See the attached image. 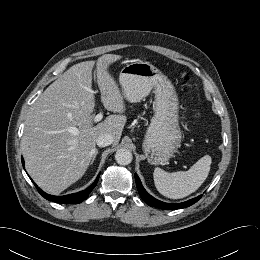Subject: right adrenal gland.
Listing matches in <instances>:
<instances>
[{"instance_id": "right-adrenal-gland-1", "label": "right adrenal gland", "mask_w": 260, "mask_h": 260, "mask_svg": "<svg viewBox=\"0 0 260 260\" xmlns=\"http://www.w3.org/2000/svg\"><path fill=\"white\" fill-rule=\"evenodd\" d=\"M97 154H98V150H96V152H95V154H94V156H93V158H92L91 165H92L93 162L95 161V158H96Z\"/></svg>"}]
</instances>
